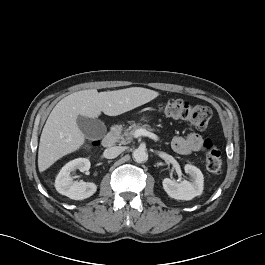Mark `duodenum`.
<instances>
[{"label": "duodenum", "mask_w": 265, "mask_h": 265, "mask_svg": "<svg viewBox=\"0 0 265 265\" xmlns=\"http://www.w3.org/2000/svg\"><path fill=\"white\" fill-rule=\"evenodd\" d=\"M119 131L120 129L117 125L113 126L110 129V132L103 138L102 140L103 146L106 148L112 147L119 136Z\"/></svg>", "instance_id": "1"}]
</instances>
